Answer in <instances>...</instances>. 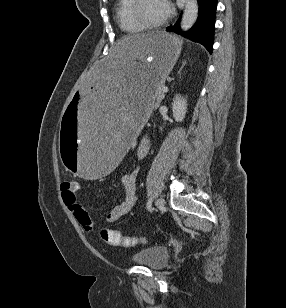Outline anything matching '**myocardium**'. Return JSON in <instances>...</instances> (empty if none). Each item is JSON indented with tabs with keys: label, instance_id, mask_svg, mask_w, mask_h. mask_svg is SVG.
Listing matches in <instances>:
<instances>
[{
	"label": "myocardium",
	"instance_id": "1",
	"mask_svg": "<svg viewBox=\"0 0 286 308\" xmlns=\"http://www.w3.org/2000/svg\"><path fill=\"white\" fill-rule=\"evenodd\" d=\"M144 0H134L133 4L131 6L130 9V13L132 18L144 29H148V30H153V29H159L161 27H163L170 19L171 15H172V11L169 7V5L167 4L168 7V13L166 15V17L156 23H151V22H147L142 16H141V12H140V8L141 5L143 4Z\"/></svg>",
	"mask_w": 286,
	"mask_h": 308
}]
</instances>
